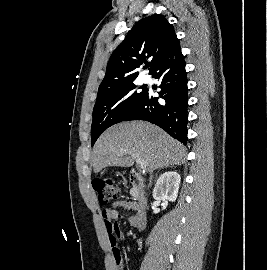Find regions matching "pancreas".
I'll return each mask as SVG.
<instances>
[{
	"mask_svg": "<svg viewBox=\"0 0 267 270\" xmlns=\"http://www.w3.org/2000/svg\"><path fill=\"white\" fill-rule=\"evenodd\" d=\"M130 195H131L134 199H138V198H139V195L137 194L135 188H132V189L130 190Z\"/></svg>",
	"mask_w": 267,
	"mask_h": 270,
	"instance_id": "1",
	"label": "pancreas"
}]
</instances>
